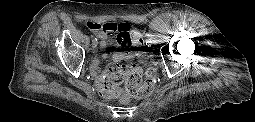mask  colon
<instances>
[{
    "instance_id": "obj_1",
    "label": "colon",
    "mask_w": 255,
    "mask_h": 122,
    "mask_svg": "<svg viewBox=\"0 0 255 122\" xmlns=\"http://www.w3.org/2000/svg\"><path fill=\"white\" fill-rule=\"evenodd\" d=\"M86 26L94 32L103 31L107 34L117 33L118 36L124 38V44L134 46L141 50L144 55L143 39L140 31L129 24H117L108 22L100 24L96 22H88ZM145 77L139 66H126L113 63L107 67L103 75L98 81L99 92L106 97L120 96L122 104L128 105L132 98H144L149 96L155 87L156 72L151 66L145 67ZM124 82L126 93H122L117 87L118 84Z\"/></svg>"
}]
</instances>
